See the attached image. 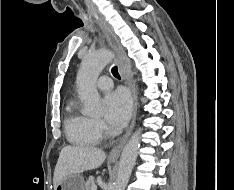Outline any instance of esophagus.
<instances>
[{
	"instance_id": "1",
	"label": "esophagus",
	"mask_w": 234,
	"mask_h": 190,
	"mask_svg": "<svg viewBox=\"0 0 234 190\" xmlns=\"http://www.w3.org/2000/svg\"><path fill=\"white\" fill-rule=\"evenodd\" d=\"M101 28L104 31L110 46L113 48V50L117 54V62L120 64L121 72L123 73L124 79L131 90L132 98H133V114H132L131 124L127 132L125 133V135L119 140L117 145L110 151L108 155L110 159H117L135 125V120H136V115H137V105H138L137 93H136L135 82L133 80L131 70L128 66L124 65L125 53H124L122 45L120 44L118 38L116 37V35L114 34V32L112 31V29L109 27L107 23L102 22Z\"/></svg>"
}]
</instances>
